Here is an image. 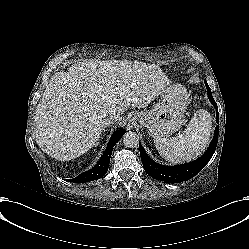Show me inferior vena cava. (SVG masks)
Returning a JSON list of instances; mask_svg holds the SVG:
<instances>
[{
	"label": "inferior vena cava",
	"mask_w": 249,
	"mask_h": 249,
	"mask_svg": "<svg viewBox=\"0 0 249 249\" xmlns=\"http://www.w3.org/2000/svg\"><path fill=\"white\" fill-rule=\"evenodd\" d=\"M117 120H118V117L115 114H110L109 117H107V118H105L103 120L102 125L105 128V127L109 126L110 124L114 123Z\"/></svg>",
	"instance_id": "inferior-vena-cava-1"
}]
</instances>
